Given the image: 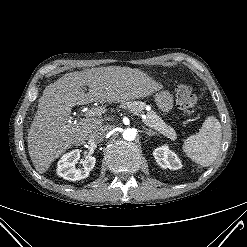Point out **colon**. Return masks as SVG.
<instances>
[{"mask_svg": "<svg viewBox=\"0 0 247 247\" xmlns=\"http://www.w3.org/2000/svg\"><path fill=\"white\" fill-rule=\"evenodd\" d=\"M176 104L187 115H192L198 108V99L188 85H179L176 89Z\"/></svg>", "mask_w": 247, "mask_h": 247, "instance_id": "colon-1", "label": "colon"}]
</instances>
